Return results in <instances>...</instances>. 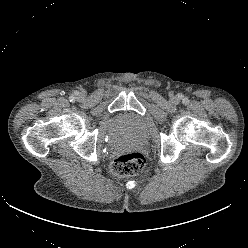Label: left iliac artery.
<instances>
[{"mask_svg": "<svg viewBox=\"0 0 248 248\" xmlns=\"http://www.w3.org/2000/svg\"><path fill=\"white\" fill-rule=\"evenodd\" d=\"M183 102L184 103H187L188 102V99L187 98L183 99Z\"/></svg>", "mask_w": 248, "mask_h": 248, "instance_id": "obj_1", "label": "left iliac artery"}]
</instances>
